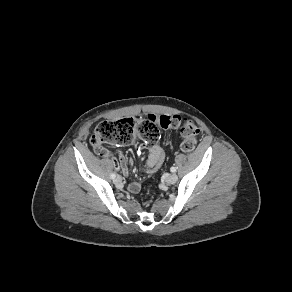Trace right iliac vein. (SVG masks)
<instances>
[{
    "label": "right iliac vein",
    "instance_id": "1",
    "mask_svg": "<svg viewBox=\"0 0 292 292\" xmlns=\"http://www.w3.org/2000/svg\"><path fill=\"white\" fill-rule=\"evenodd\" d=\"M114 183H115L116 186L121 187L122 186V178L120 176H117L114 179Z\"/></svg>",
    "mask_w": 292,
    "mask_h": 292
}]
</instances>
